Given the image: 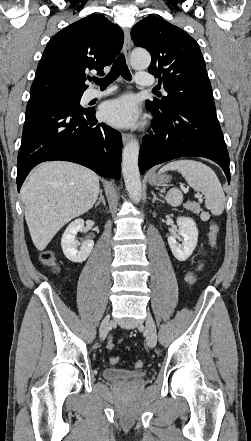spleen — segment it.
Returning <instances> with one entry per match:
<instances>
[{"label":"spleen","instance_id":"1","mask_svg":"<svg viewBox=\"0 0 251 441\" xmlns=\"http://www.w3.org/2000/svg\"><path fill=\"white\" fill-rule=\"evenodd\" d=\"M177 170L186 182L197 192L205 196L206 208L213 215H221L225 207V194L215 172L206 164L191 159H180L167 163L161 172ZM166 202L177 207L183 202V194L178 188H172L166 195Z\"/></svg>","mask_w":251,"mask_h":441}]
</instances>
